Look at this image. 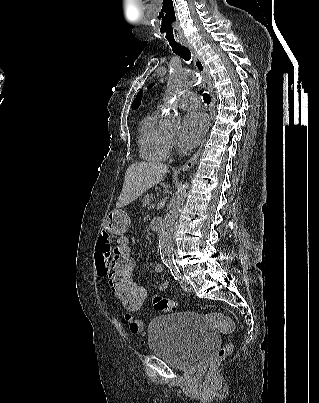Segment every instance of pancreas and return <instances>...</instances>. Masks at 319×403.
I'll list each match as a JSON object with an SVG mask.
<instances>
[{
  "label": "pancreas",
  "instance_id": "pancreas-1",
  "mask_svg": "<svg viewBox=\"0 0 319 403\" xmlns=\"http://www.w3.org/2000/svg\"><path fill=\"white\" fill-rule=\"evenodd\" d=\"M154 198H155V195H154V194H152V193L146 194V195L144 196V198H143L142 206H143V207H146V206H149V207H150V206L152 205V202H153Z\"/></svg>",
  "mask_w": 319,
  "mask_h": 403
}]
</instances>
